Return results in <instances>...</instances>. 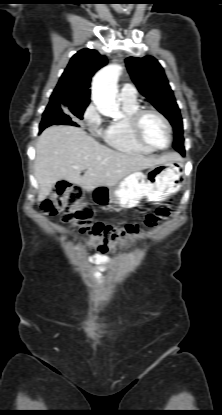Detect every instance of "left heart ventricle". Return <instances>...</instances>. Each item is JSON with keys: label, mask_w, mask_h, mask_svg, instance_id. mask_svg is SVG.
<instances>
[{"label": "left heart ventricle", "mask_w": 222, "mask_h": 415, "mask_svg": "<svg viewBox=\"0 0 222 415\" xmlns=\"http://www.w3.org/2000/svg\"><path fill=\"white\" fill-rule=\"evenodd\" d=\"M144 138L151 144L163 147L168 142V132L163 121L154 114H147L142 120Z\"/></svg>", "instance_id": "obj_1"}]
</instances>
